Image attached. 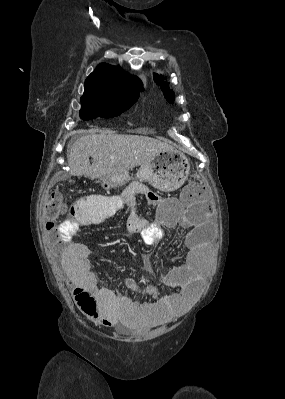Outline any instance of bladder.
I'll use <instances>...</instances> for the list:
<instances>
[{
	"mask_svg": "<svg viewBox=\"0 0 285 399\" xmlns=\"http://www.w3.org/2000/svg\"><path fill=\"white\" fill-rule=\"evenodd\" d=\"M118 325H119L118 329L122 333H128V332L136 329V327H134L126 322H120Z\"/></svg>",
	"mask_w": 285,
	"mask_h": 399,
	"instance_id": "obj_1",
	"label": "bladder"
}]
</instances>
